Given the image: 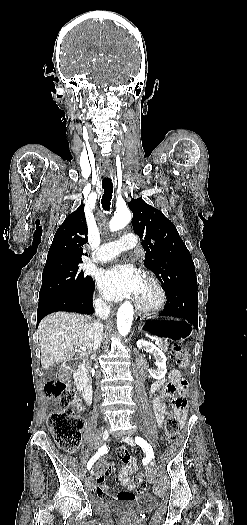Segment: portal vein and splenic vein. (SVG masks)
Listing matches in <instances>:
<instances>
[{"instance_id": "18ae733b", "label": "portal vein and splenic vein", "mask_w": 247, "mask_h": 525, "mask_svg": "<svg viewBox=\"0 0 247 525\" xmlns=\"http://www.w3.org/2000/svg\"><path fill=\"white\" fill-rule=\"evenodd\" d=\"M156 346H160L159 340H155ZM80 351H86V347H79Z\"/></svg>"}]
</instances>
